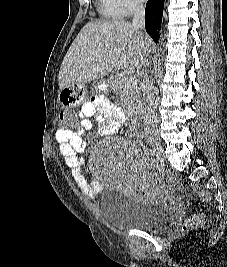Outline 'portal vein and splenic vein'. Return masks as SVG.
Listing matches in <instances>:
<instances>
[{
    "mask_svg": "<svg viewBox=\"0 0 227 267\" xmlns=\"http://www.w3.org/2000/svg\"><path fill=\"white\" fill-rule=\"evenodd\" d=\"M137 77L135 75H129L128 76V85L136 84Z\"/></svg>",
    "mask_w": 227,
    "mask_h": 267,
    "instance_id": "portal-vein-and-splenic-vein-1",
    "label": "portal vein and splenic vein"
}]
</instances>
